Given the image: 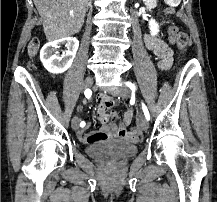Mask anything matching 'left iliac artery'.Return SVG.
<instances>
[{
	"label": "left iliac artery",
	"instance_id": "left-iliac-artery-1",
	"mask_svg": "<svg viewBox=\"0 0 217 202\" xmlns=\"http://www.w3.org/2000/svg\"><path fill=\"white\" fill-rule=\"evenodd\" d=\"M125 84H126V86H128L133 92L136 90V87H135V85H134L133 83H131V82L128 81V82H125ZM142 108H143V112H144V114H145L146 119H147V120H150V115H149L148 109H147V107L145 106L144 103H142Z\"/></svg>",
	"mask_w": 217,
	"mask_h": 202
}]
</instances>
